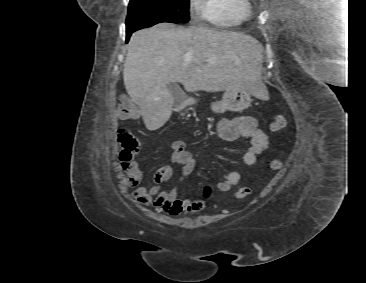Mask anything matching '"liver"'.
<instances>
[{
	"label": "liver",
	"instance_id": "liver-1",
	"mask_svg": "<svg viewBox=\"0 0 366 283\" xmlns=\"http://www.w3.org/2000/svg\"><path fill=\"white\" fill-rule=\"evenodd\" d=\"M262 59L261 44L248 35L160 23L131 36L123 79L146 128L154 131L172 114L170 83L188 92L247 89L261 98Z\"/></svg>",
	"mask_w": 366,
	"mask_h": 283
}]
</instances>
